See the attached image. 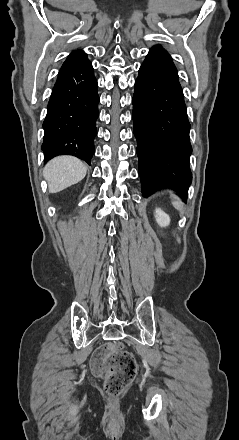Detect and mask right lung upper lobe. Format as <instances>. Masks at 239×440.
<instances>
[{
	"label": "right lung upper lobe",
	"mask_w": 239,
	"mask_h": 440,
	"mask_svg": "<svg viewBox=\"0 0 239 440\" xmlns=\"http://www.w3.org/2000/svg\"><path fill=\"white\" fill-rule=\"evenodd\" d=\"M68 61H78V62H85V61H89L87 58V55L85 54L84 51L82 50H76L73 51L68 57L67 60L65 62Z\"/></svg>",
	"instance_id": "obj_1"
}]
</instances>
